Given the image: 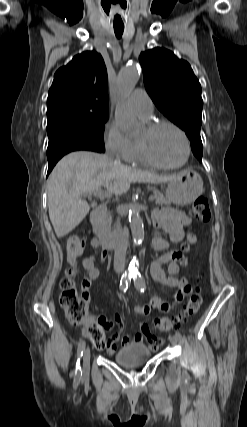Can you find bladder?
Returning <instances> with one entry per match:
<instances>
[{
  "instance_id": "1",
  "label": "bladder",
  "mask_w": 247,
  "mask_h": 427,
  "mask_svg": "<svg viewBox=\"0 0 247 427\" xmlns=\"http://www.w3.org/2000/svg\"><path fill=\"white\" fill-rule=\"evenodd\" d=\"M152 356L151 350L143 344H131L121 348L114 361L122 367L132 368L144 364Z\"/></svg>"
}]
</instances>
